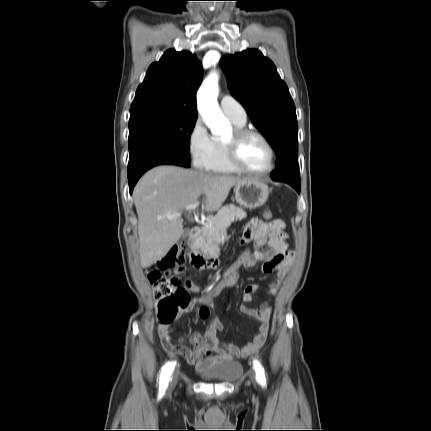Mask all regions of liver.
I'll return each mask as SVG.
<instances>
[{
    "instance_id": "6515ba94",
    "label": "liver",
    "mask_w": 431,
    "mask_h": 431,
    "mask_svg": "<svg viewBox=\"0 0 431 431\" xmlns=\"http://www.w3.org/2000/svg\"><path fill=\"white\" fill-rule=\"evenodd\" d=\"M245 178L212 175L176 166H158L137 183L133 200L138 214L140 263L148 268L162 259L183 234L179 218L166 215L180 212L204 195L203 208L217 211L231 188Z\"/></svg>"
}]
</instances>
